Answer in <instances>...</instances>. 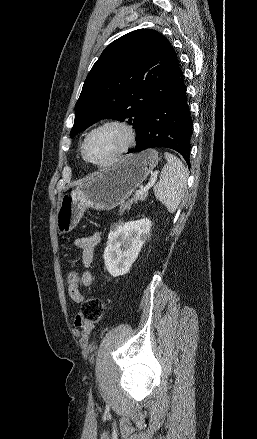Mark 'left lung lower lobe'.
Segmentation results:
<instances>
[{
  "instance_id": "left-lung-lower-lobe-1",
  "label": "left lung lower lobe",
  "mask_w": 257,
  "mask_h": 439,
  "mask_svg": "<svg viewBox=\"0 0 257 439\" xmlns=\"http://www.w3.org/2000/svg\"><path fill=\"white\" fill-rule=\"evenodd\" d=\"M193 123L190 116L186 86L178 61L166 82L155 95L140 125V139L135 149L170 148L179 152L190 167V139Z\"/></svg>"
}]
</instances>
